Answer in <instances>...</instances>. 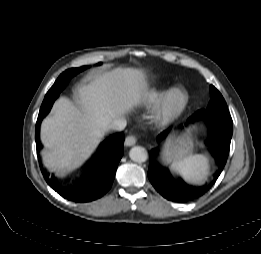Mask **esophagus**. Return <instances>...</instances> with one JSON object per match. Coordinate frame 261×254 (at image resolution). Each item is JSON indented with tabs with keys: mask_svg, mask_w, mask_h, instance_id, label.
I'll return each instance as SVG.
<instances>
[{
	"mask_svg": "<svg viewBox=\"0 0 261 254\" xmlns=\"http://www.w3.org/2000/svg\"><path fill=\"white\" fill-rule=\"evenodd\" d=\"M136 144L135 136H127L125 139V146L130 147Z\"/></svg>",
	"mask_w": 261,
	"mask_h": 254,
	"instance_id": "1",
	"label": "esophagus"
}]
</instances>
